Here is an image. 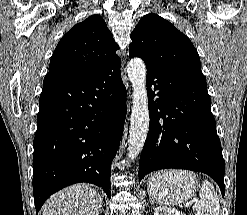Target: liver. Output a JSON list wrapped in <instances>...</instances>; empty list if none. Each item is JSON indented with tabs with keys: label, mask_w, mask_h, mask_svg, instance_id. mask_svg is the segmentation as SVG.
Segmentation results:
<instances>
[{
	"label": "liver",
	"mask_w": 247,
	"mask_h": 215,
	"mask_svg": "<svg viewBox=\"0 0 247 215\" xmlns=\"http://www.w3.org/2000/svg\"><path fill=\"white\" fill-rule=\"evenodd\" d=\"M100 194L88 184H75L58 192L47 201L44 215H99Z\"/></svg>",
	"instance_id": "1"
}]
</instances>
